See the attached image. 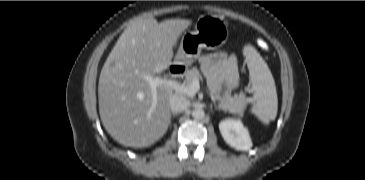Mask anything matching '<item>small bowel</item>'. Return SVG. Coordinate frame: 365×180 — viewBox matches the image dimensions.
Masks as SVG:
<instances>
[{"label": "small bowel", "instance_id": "obj_1", "mask_svg": "<svg viewBox=\"0 0 365 180\" xmlns=\"http://www.w3.org/2000/svg\"><path fill=\"white\" fill-rule=\"evenodd\" d=\"M200 63L214 94L221 89L232 92L238 87V61L234 55L227 56L223 52L207 54L201 57Z\"/></svg>", "mask_w": 365, "mask_h": 180}]
</instances>
